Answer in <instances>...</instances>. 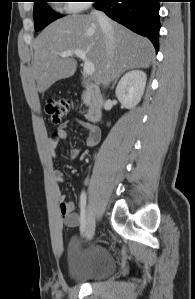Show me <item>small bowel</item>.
<instances>
[{
	"mask_svg": "<svg viewBox=\"0 0 195 299\" xmlns=\"http://www.w3.org/2000/svg\"><path fill=\"white\" fill-rule=\"evenodd\" d=\"M75 122L87 131V146L94 147L97 145L100 140V132L98 128L82 120L77 119ZM67 127L68 123H64L51 135L49 139V148L52 155H54L59 143L68 137ZM71 155L72 157H78L81 155V151L79 149H73L71 151ZM52 175L55 181V192L58 199L59 213L63 224L70 228L79 227L81 225V215L74 212L73 202L67 200L60 188V183L64 180L63 172L59 169H54Z\"/></svg>",
	"mask_w": 195,
	"mask_h": 299,
	"instance_id": "c3829d8e",
	"label": "small bowel"
}]
</instances>
